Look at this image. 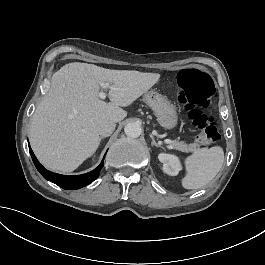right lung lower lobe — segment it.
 Wrapping results in <instances>:
<instances>
[{"mask_svg":"<svg viewBox=\"0 0 265 265\" xmlns=\"http://www.w3.org/2000/svg\"><path fill=\"white\" fill-rule=\"evenodd\" d=\"M29 150L32 156V160L37 170L41 173V175L48 181H51L52 183L60 186L61 188L68 189V190L79 189L93 182L99 176L100 170L104 166V163L102 161L96 169H94L93 171L89 173L77 175V176L60 175V174L47 171L35 157L33 151L30 148V145H29Z\"/></svg>","mask_w":265,"mask_h":265,"instance_id":"obj_1","label":"right lung lower lobe"}]
</instances>
